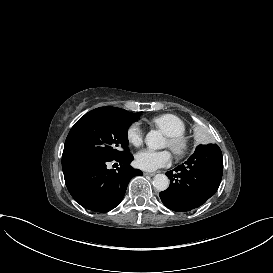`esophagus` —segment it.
Returning <instances> with one entry per match:
<instances>
[{
    "label": "esophagus",
    "mask_w": 273,
    "mask_h": 273,
    "mask_svg": "<svg viewBox=\"0 0 273 273\" xmlns=\"http://www.w3.org/2000/svg\"><path fill=\"white\" fill-rule=\"evenodd\" d=\"M143 174H144V175H147V176H154L156 173H152V172H144Z\"/></svg>",
    "instance_id": "obj_1"
}]
</instances>
